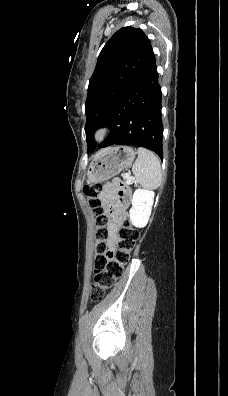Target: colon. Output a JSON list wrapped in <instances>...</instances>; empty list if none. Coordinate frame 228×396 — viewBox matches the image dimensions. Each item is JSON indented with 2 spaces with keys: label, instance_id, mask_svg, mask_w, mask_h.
I'll return each instance as SVG.
<instances>
[{
  "label": "colon",
  "instance_id": "obj_1",
  "mask_svg": "<svg viewBox=\"0 0 228 396\" xmlns=\"http://www.w3.org/2000/svg\"><path fill=\"white\" fill-rule=\"evenodd\" d=\"M115 183L119 188L120 196L127 198L130 191L125 183L119 179L115 180ZM82 191L95 216L94 268L98 272L91 287L90 298L92 301H99L121 277L123 268L130 261L131 252L134 250L140 234L128 222H125L120 232L118 246L117 248H112L109 244L108 220L104 215L100 199L102 184H87Z\"/></svg>",
  "mask_w": 228,
  "mask_h": 396
}]
</instances>
